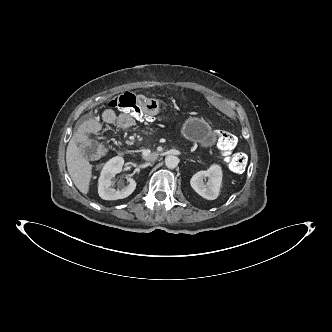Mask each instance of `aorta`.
Returning <instances> with one entry per match:
<instances>
[{
  "instance_id": "aorta-1",
  "label": "aorta",
  "mask_w": 332,
  "mask_h": 332,
  "mask_svg": "<svg viewBox=\"0 0 332 332\" xmlns=\"http://www.w3.org/2000/svg\"><path fill=\"white\" fill-rule=\"evenodd\" d=\"M179 159L176 156L170 155L165 158V165L169 169H174L177 167Z\"/></svg>"
}]
</instances>
